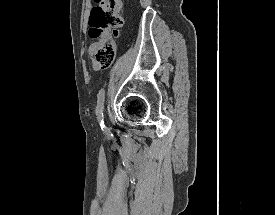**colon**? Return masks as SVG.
Segmentation results:
<instances>
[{
	"label": "colon",
	"instance_id": "colon-1",
	"mask_svg": "<svg viewBox=\"0 0 275 215\" xmlns=\"http://www.w3.org/2000/svg\"><path fill=\"white\" fill-rule=\"evenodd\" d=\"M95 2L97 6L93 8L89 18V35L97 42L96 65L108 67L113 63L115 56L114 38L118 35V28L123 24V18L118 14L120 0H95Z\"/></svg>",
	"mask_w": 275,
	"mask_h": 215
}]
</instances>
